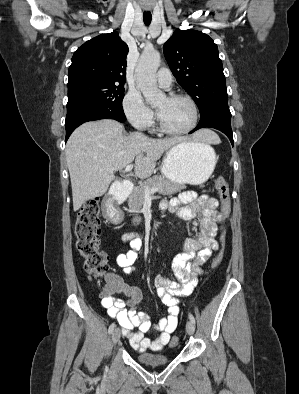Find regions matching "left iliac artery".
<instances>
[{
  "label": "left iliac artery",
  "mask_w": 299,
  "mask_h": 394,
  "mask_svg": "<svg viewBox=\"0 0 299 394\" xmlns=\"http://www.w3.org/2000/svg\"><path fill=\"white\" fill-rule=\"evenodd\" d=\"M189 319L195 324V318L192 314H189Z\"/></svg>",
  "instance_id": "44dca946"
}]
</instances>
